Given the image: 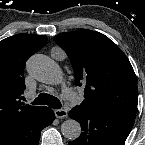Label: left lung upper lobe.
Listing matches in <instances>:
<instances>
[{"mask_svg":"<svg viewBox=\"0 0 145 145\" xmlns=\"http://www.w3.org/2000/svg\"><path fill=\"white\" fill-rule=\"evenodd\" d=\"M54 40L72 63L76 85L85 87V100L79 107L136 114V76L128 58L114 42L87 29L58 34Z\"/></svg>","mask_w":145,"mask_h":145,"instance_id":"1","label":"left lung upper lobe"}]
</instances>
